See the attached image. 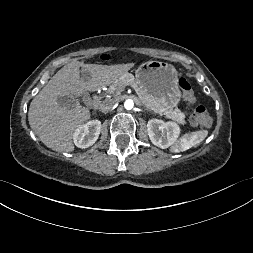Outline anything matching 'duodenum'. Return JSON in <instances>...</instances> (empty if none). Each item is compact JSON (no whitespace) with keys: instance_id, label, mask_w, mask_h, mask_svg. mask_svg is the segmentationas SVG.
<instances>
[{"instance_id":"duodenum-1","label":"duodenum","mask_w":253,"mask_h":253,"mask_svg":"<svg viewBox=\"0 0 253 253\" xmlns=\"http://www.w3.org/2000/svg\"><path fill=\"white\" fill-rule=\"evenodd\" d=\"M98 104V96H94L92 106H96Z\"/></svg>"}]
</instances>
